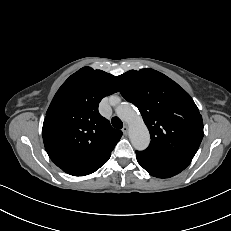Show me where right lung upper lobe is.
Wrapping results in <instances>:
<instances>
[{"label":"right lung upper lobe","mask_w":231,"mask_h":231,"mask_svg":"<svg viewBox=\"0 0 231 231\" xmlns=\"http://www.w3.org/2000/svg\"><path fill=\"white\" fill-rule=\"evenodd\" d=\"M117 91L113 75L83 67L55 94L42 135L50 159L64 172L82 176L110 157L123 133L99 114L98 106Z\"/></svg>","instance_id":"cb5924a9"}]
</instances>
